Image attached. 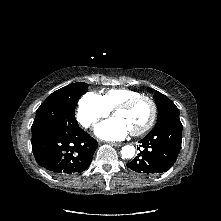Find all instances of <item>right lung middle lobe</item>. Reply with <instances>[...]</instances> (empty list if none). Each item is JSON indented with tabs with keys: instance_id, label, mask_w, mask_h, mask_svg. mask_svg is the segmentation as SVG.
<instances>
[{
	"instance_id": "dd1d6c3e",
	"label": "right lung middle lobe",
	"mask_w": 221,
	"mask_h": 221,
	"mask_svg": "<svg viewBox=\"0 0 221 221\" xmlns=\"http://www.w3.org/2000/svg\"><path fill=\"white\" fill-rule=\"evenodd\" d=\"M88 86L89 84L84 82H76L53 92L37 109L31 130L57 118L77 123L74 114L75 107L79 97L86 92Z\"/></svg>"
}]
</instances>
